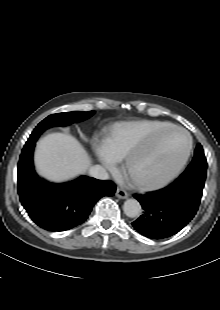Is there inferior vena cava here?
<instances>
[{"label": "inferior vena cava", "mask_w": 220, "mask_h": 310, "mask_svg": "<svg viewBox=\"0 0 220 310\" xmlns=\"http://www.w3.org/2000/svg\"><path fill=\"white\" fill-rule=\"evenodd\" d=\"M89 175L93 178L100 179V180H107L109 179V174L106 169L100 165H94L89 169Z\"/></svg>", "instance_id": "1"}]
</instances>
